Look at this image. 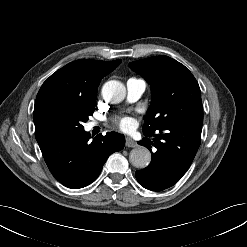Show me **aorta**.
I'll return each mask as SVG.
<instances>
[{"instance_id":"1","label":"aorta","mask_w":247,"mask_h":247,"mask_svg":"<svg viewBox=\"0 0 247 247\" xmlns=\"http://www.w3.org/2000/svg\"><path fill=\"white\" fill-rule=\"evenodd\" d=\"M103 99L112 104L120 103L126 96V88L120 81L111 80L102 87ZM130 163L138 169H144L151 161V153L145 147H137L131 150L129 155Z\"/></svg>"}]
</instances>
